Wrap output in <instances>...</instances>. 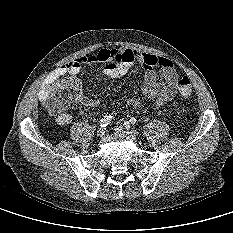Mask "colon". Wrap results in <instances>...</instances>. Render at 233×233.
<instances>
[{
  "instance_id": "5ec220e1",
  "label": "colon",
  "mask_w": 233,
  "mask_h": 233,
  "mask_svg": "<svg viewBox=\"0 0 233 233\" xmlns=\"http://www.w3.org/2000/svg\"><path fill=\"white\" fill-rule=\"evenodd\" d=\"M179 93L184 97H189L192 94L191 81L187 76H184L178 81ZM81 94L79 82L74 78L62 79L53 89L49 100V108L54 113L63 112L66 106L75 102Z\"/></svg>"
}]
</instances>
